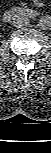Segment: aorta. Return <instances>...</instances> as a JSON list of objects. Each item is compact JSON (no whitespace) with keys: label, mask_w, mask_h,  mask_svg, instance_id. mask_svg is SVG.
<instances>
[{"label":"aorta","mask_w":51,"mask_h":153,"mask_svg":"<svg viewBox=\"0 0 51 153\" xmlns=\"http://www.w3.org/2000/svg\"><path fill=\"white\" fill-rule=\"evenodd\" d=\"M39 27L43 30H49L51 27V17L49 15L42 16L39 20Z\"/></svg>","instance_id":"obj_1"}]
</instances>
